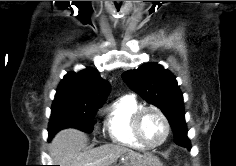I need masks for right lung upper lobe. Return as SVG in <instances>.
I'll list each match as a JSON object with an SVG mask.
<instances>
[{"mask_svg":"<svg viewBox=\"0 0 236 166\" xmlns=\"http://www.w3.org/2000/svg\"><path fill=\"white\" fill-rule=\"evenodd\" d=\"M110 84L93 68H87L79 73L69 72L60 82L54 102L71 101L102 106Z\"/></svg>","mask_w":236,"mask_h":166,"instance_id":"right-lung-upper-lobe-1","label":"right lung upper lobe"}]
</instances>
